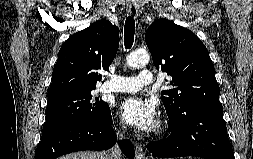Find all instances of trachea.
Returning <instances> with one entry per match:
<instances>
[{"mask_svg":"<svg viewBox=\"0 0 253 159\" xmlns=\"http://www.w3.org/2000/svg\"><path fill=\"white\" fill-rule=\"evenodd\" d=\"M135 34V20L133 17H127L124 26V44L129 49L133 45Z\"/></svg>","mask_w":253,"mask_h":159,"instance_id":"3493384b","label":"trachea"}]
</instances>
